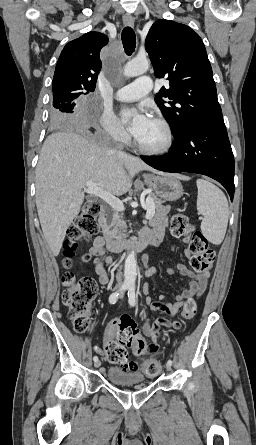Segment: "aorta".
<instances>
[{"label":"aorta","mask_w":256,"mask_h":445,"mask_svg":"<svg viewBox=\"0 0 256 445\" xmlns=\"http://www.w3.org/2000/svg\"><path fill=\"white\" fill-rule=\"evenodd\" d=\"M149 69V61L147 59H133L126 63L124 67V75L126 77H134L144 74ZM137 277V263L134 251L129 252L124 265V279L126 284H135Z\"/></svg>","instance_id":"762f6f07"}]
</instances>
